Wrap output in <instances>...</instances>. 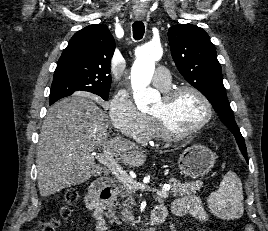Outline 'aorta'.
Wrapping results in <instances>:
<instances>
[{"mask_svg": "<svg viewBox=\"0 0 268 231\" xmlns=\"http://www.w3.org/2000/svg\"><path fill=\"white\" fill-rule=\"evenodd\" d=\"M162 54L161 45L152 42L145 44L137 52L131 68V85L135 104L140 111H147L150 104L160 96L149 84L155 70V62L160 60Z\"/></svg>", "mask_w": 268, "mask_h": 231, "instance_id": "1", "label": "aorta"}]
</instances>
